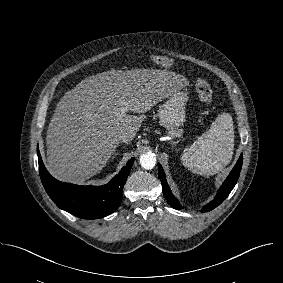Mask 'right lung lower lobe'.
Wrapping results in <instances>:
<instances>
[{
    "label": "right lung lower lobe",
    "mask_w": 283,
    "mask_h": 283,
    "mask_svg": "<svg viewBox=\"0 0 283 283\" xmlns=\"http://www.w3.org/2000/svg\"><path fill=\"white\" fill-rule=\"evenodd\" d=\"M42 184L61 209L79 218L97 219L113 213L121 204L123 186L135 158H131L113 179L103 186H79L56 180L46 170L37 148Z\"/></svg>",
    "instance_id": "obj_1"
}]
</instances>
